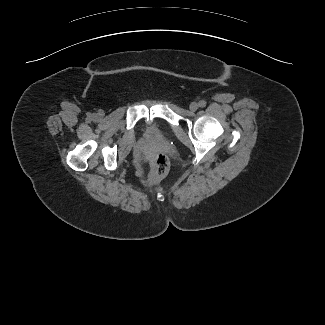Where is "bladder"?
<instances>
[{
    "label": "bladder",
    "instance_id": "1",
    "mask_svg": "<svg viewBox=\"0 0 325 325\" xmlns=\"http://www.w3.org/2000/svg\"><path fill=\"white\" fill-rule=\"evenodd\" d=\"M151 134L156 136V137H161L162 136V133L160 131L156 130V129H153L151 131Z\"/></svg>",
    "mask_w": 325,
    "mask_h": 325
}]
</instances>
